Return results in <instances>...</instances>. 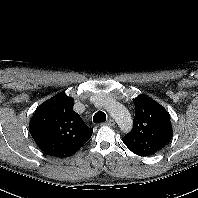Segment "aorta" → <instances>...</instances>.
<instances>
[{
	"instance_id": "aorta-1",
	"label": "aorta",
	"mask_w": 198,
	"mask_h": 198,
	"mask_svg": "<svg viewBox=\"0 0 198 198\" xmlns=\"http://www.w3.org/2000/svg\"><path fill=\"white\" fill-rule=\"evenodd\" d=\"M105 107L109 114L115 119L120 129L127 133L132 129V118L129 111L120 103H105Z\"/></svg>"
}]
</instances>
